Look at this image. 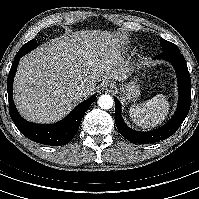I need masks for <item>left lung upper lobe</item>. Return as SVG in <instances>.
Instances as JSON below:
<instances>
[{"mask_svg":"<svg viewBox=\"0 0 199 199\" xmlns=\"http://www.w3.org/2000/svg\"><path fill=\"white\" fill-rule=\"evenodd\" d=\"M160 43L163 45V51L166 50H178V48L171 42L161 38Z\"/></svg>","mask_w":199,"mask_h":199,"instance_id":"1","label":"left lung upper lobe"}]
</instances>
